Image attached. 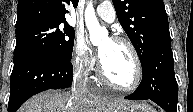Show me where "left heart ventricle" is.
<instances>
[{
	"mask_svg": "<svg viewBox=\"0 0 193 112\" xmlns=\"http://www.w3.org/2000/svg\"><path fill=\"white\" fill-rule=\"evenodd\" d=\"M99 49L104 52L101 63L107 76L119 85L131 84L135 76V65L128 47L105 39Z\"/></svg>",
	"mask_w": 193,
	"mask_h": 112,
	"instance_id": "obj_1",
	"label": "left heart ventricle"
}]
</instances>
